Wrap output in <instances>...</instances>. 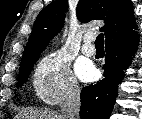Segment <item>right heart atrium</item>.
I'll return each instance as SVG.
<instances>
[{
	"label": "right heart atrium",
	"mask_w": 142,
	"mask_h": 119,
	"mask_svg": "<svg viewBox=\"0 0 142 119\" xmlns=\"http://www.w3.org/2000/svg\"><path fill=\"white\" fill-rule=\"evenodd\" d=\"M32 82L35 94L46 104L74 100L80 95L69 63L60 51L49 52L39 60Z\"/></svg>",
	"instance_id": "d8ad5b80"
}]
</instances>
